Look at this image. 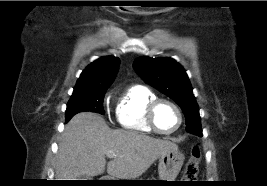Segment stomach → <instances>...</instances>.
I'll return each mask as SVG.
<instances>
[{
  "label": "stomach",
  "mask_w": 267,
  "mask_h": 186,
  "mask_svg": "<svg viewBox=\"0 0 267 186\" xmlns=\"http://www.w3.org/2000/svg\"><path fill=\"white\" fill-rule=\"evenodd\" d=\"M183 163L184 154L180 152L178 148L163 153L159 157V181H175L182 168Z\"/></svg>",
  "instance_id": "1"
}]
</instances>
